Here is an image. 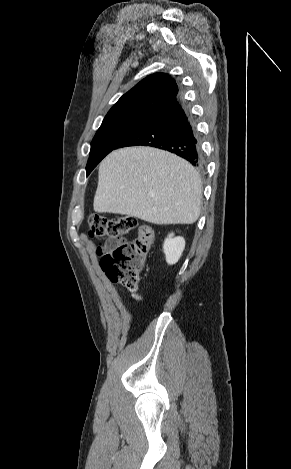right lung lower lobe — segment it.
Returning a JSON list of instances; mask_svg holds the SVG:
<instances>
[{
  "instance_id": "98d812e1",
  "label": "right lung lower lobe",
  "mask_w": 291,
  "mask_h": 469,
  "mask_svg": "<svg viewBox=\"0 0 291 469\" xmlns=\"http://www.w3.org/2000/svg\"><path fill=\"white\" fill-rule=\"evenodd\" d=\"M132 145L164 149L184 158L195 167L203 166L194 118L179 99L150 116L114 149Z\"/></svg>"
}]
</instances>
